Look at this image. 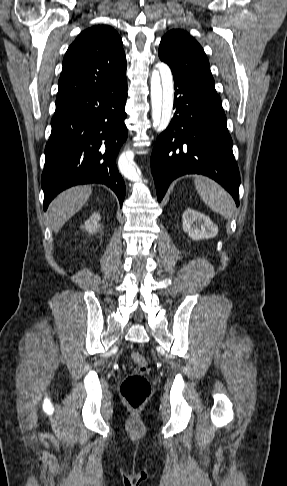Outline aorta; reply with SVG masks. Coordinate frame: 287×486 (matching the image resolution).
Returning a JSON list of instances; mask_svg holds the SVG:
<instances>
[{
    "label": "aorta",
    "instance_id": "aorta-1",
    "mask_svg": "<svg viewBox=\"0 0 287 486\" xmlns=\"http://www.w3.org/2000/svg\"><path fill=\"white\" fill-rule=\"evenodd\" d=\"M151 106L153 126L159 132L164 131L171 121L173 110V76L169 66L164 63L152 72ZM133 156V152L126 153L119 167L125 178L137 182L140 177Z\"/></svg>",
    "mask_w": 287,
    "mask_h": 486
}]
</instances>
